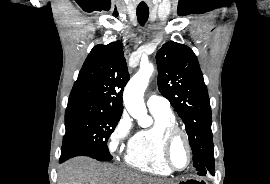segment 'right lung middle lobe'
I'll list each match as a JSON object with an SVG mask.
<instances>
[{"instance_id": "obj_1", "label": "right lung middle lobe", "mask_w": 270, "mask_h": 184, "mask_svg": "<svg viewBox=\"0 0 270 184\" xmlns=\"http://www.w3.org/2000/svg\"><path fill=\"white\" fill-rule=\"evenodd\" d=\"M120 117L88 102L68 101L60 162L77 155L111 160L107 141Z\"/></svg>"}]
</instances>
